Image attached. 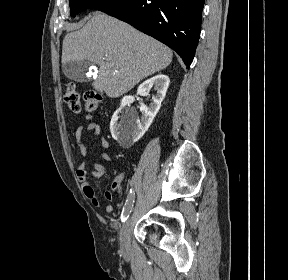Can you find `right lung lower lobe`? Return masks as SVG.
I'll use <instances>...</instances> for the list:
<instances>
[{
    "mask_svg": "<svg viewBox=\"0 0 288 280\" xmlns=\"http://www.w3.org/2000/svg\"><path fill=\"white\" fill-rule=\"evenodd\" d=\"M205 0H118L98 7L176 51L190 67L198 45Z\"/></svg>",
    "mask_w": 288,
    "mask_h": 280,
    "instance_id": "obj_1",
    "label": "right lung lower lobe"
}]
</instances>
